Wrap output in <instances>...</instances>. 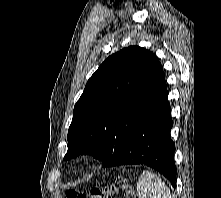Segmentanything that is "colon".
I'll use <instances>...</instances> for the list:
<instances>
[{"label":"colon","instance_id":"1","mask_svg":"<svg viewBox=\"0 0 221 198\" xmlns=\"http://www.w3.org/2000/svg\"><path fill=\"white\" fill-rule=\"evenodd\" d=\"M119 188L129 191V187L124 183L112 184L102 188H93L90 194L78 193L75 190H68L66 192L67 198H111Z\"/></svg>","mask_w":221,"mask_h":198}]
</instances>
